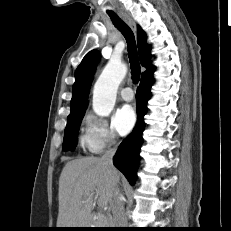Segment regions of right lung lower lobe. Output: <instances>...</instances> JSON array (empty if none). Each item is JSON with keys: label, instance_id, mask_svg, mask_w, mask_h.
Returning a JSON list of instances; mask_svg holds the SVG:
<instances>
[{"label": "right lung lower lobe", "instance_id": "98d812e1", "mask_svg": "<svg viewBox=\"0 0 231 231\" xmlns=\"http://www.w3.org/2000/svg\"><path fill=\"white\" fill-rule=\"evenodd\" d=\"M154 78L142 79L136 93V107L140 122L132 133L120 144L119 149L113 159V163L131 185L136 181V171L139 164V151L142 144V132L145 127L144 115L147 112V101L151 97L150 88Z\"/></svg>", "mask_w": 231, "mask_h": 231}]
</instances>
